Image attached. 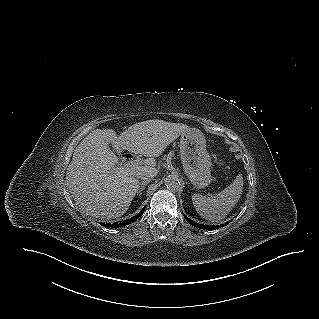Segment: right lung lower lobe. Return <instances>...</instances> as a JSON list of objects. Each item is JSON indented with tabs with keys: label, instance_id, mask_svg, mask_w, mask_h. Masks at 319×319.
<instances>
[{
	"label": "right lung lower lobe",
	"instance_id": "98d812e1",
	"mask_svg": "<svg viewBox=\"0 0 319 319\" xmlns=\"http://www.w3.org/2000/svg\"><path fill=\"white\" fill-rule=\"evenodd\" d=\"M144 213V209L142 211H140L136 216L130 218V219H127L125 221H120V222H115L113 224H104V223H100L102 226H105V227H112V228H118V227H121V226H125V225H128L134 221H136L141 215H143Z\"/></svg>",
	"mask_w": 319,
	"mask_h": 319
}]
</instances>
